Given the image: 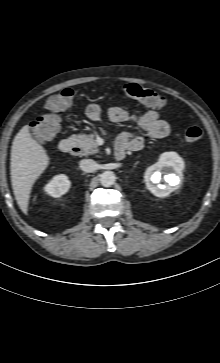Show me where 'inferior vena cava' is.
<instances>
[{
    "instance_id": "inferior-vena-cava-1",
    "label": "inferior vena cava",
    "mask_w": 220,
    "mask_h": 363,
    "mask_svg": "<svg viewBox=\"0 0 220 363\" xmlns=\"http://www.w3.org/2000/svg\"><path fill=\"white\" fill-rule=\"evenodd\" d=\"M79 165L80 169L87 173H92L98 169V164L92 159H83Z\"/></svg>"
}]
</instances>
